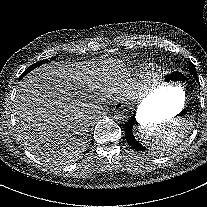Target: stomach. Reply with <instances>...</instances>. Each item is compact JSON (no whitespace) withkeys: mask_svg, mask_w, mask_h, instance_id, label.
I'll return each mask as SVG.
<instances>
[{"mask_svg":"<svg viewBox=\"0 0 207 207\" xmlns=\"http://www.w3.org/2000/svg\"><path fill=\"white\" fill-rule=\"evenodd\" d=\"M185 75L180 70L167 72L159 86L138 105L136 119L140 125H154L175 117L185 104Z\"/></svg>","mask_w":207,"mask_h":207,"instance_id":"stomach-1","label":"stomach"}]
</instances>
